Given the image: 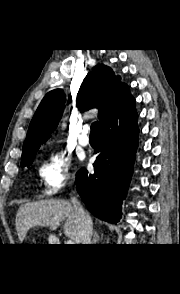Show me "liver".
Listing matches in <instances>:
<instances>
[{"mask_svg": "<svg viewBox=\"0 0 180 294\" xmlns=\"http://www.w3.org/2000/svg\"><path fill=\"white\" fill-rule=\"evenodd\" d=\"M66 219L64 234L76 244L81 242L78 218L73 205L67 200L51 199L25 203L18 209L15 219L20 242L28 230L35 226L55 230Z\"/></svg>", "mask_w": 180, "mask_h": 294, "instance_id": "liver-1", "label": "liver"}]
</instances>
